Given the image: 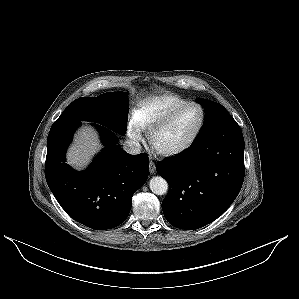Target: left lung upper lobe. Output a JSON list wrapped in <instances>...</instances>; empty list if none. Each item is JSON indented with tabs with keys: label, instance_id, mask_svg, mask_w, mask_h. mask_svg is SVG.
<instances>
[{
	"label": "left lung upper lobe",
	"instance_id": "1",
	"mask_svg": "<svg viewBox=\"0 0 299 299\" xmlns=\"http://www.w3.org/2000/svg\"><path fill=\"white\" fill-rule=\"evenodd\" d=\"M205 110V121L194 141L201 139L206 133L217 127L225 120L231 118L227 110L219 103L206 99L196 100Z\"/></svg>",
	"mask_w": 299,
	"mask_h": 299
}]
</instances>
